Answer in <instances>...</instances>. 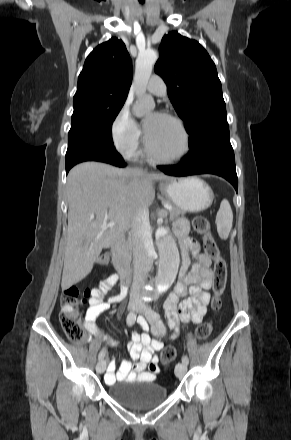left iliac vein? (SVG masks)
Instances as JSON below:
<instances>
[{
	"label": "left iliac vein",
	"mask_w": 291,
	"mask_h": 440,
	"mask_svg": "<svg viewBox=\"0 0 291 440\" xmlns=\"http://www.w3.org/2000/svg\"><path fill=\"white\" fill-rule=\"evenodd\" d=\"M137 311L138 313L146 317L147 321L152 325V331H154L153 326L159 322L160 315L154 310H152L150 307H148L147 305H140ZM157 334H159V332H157ZM186 369H187L186 364L178 363L175 367V375L178 378H182L186 373Z\"/></svg>",
	"instance_id": "obj_1"
}]
</instances>
